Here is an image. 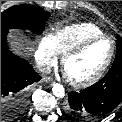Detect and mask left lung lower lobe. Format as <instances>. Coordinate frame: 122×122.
I'll list each match as a JSON object with an SVG mask.
<instances>
[{
	"label": "left lung lower lobe",
	"mask_w": 122,
	"mask_h": 122,
	"mask_svg": "<svg viewBox=\"0 0 122 122\" xmlns=\"http://www.w3.org/2000/svg\"><path fill=\"white\" fill-rule=\"evenodd\" d=\"M122 101V64L114 65L94 85L80 92L68 93L66 110L84 118H100L113 111Z\"/></svg>",
	"instance_id": "obj_1"
}]
</instances>
